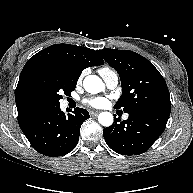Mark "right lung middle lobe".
Masks as SVG:
<instances>
[{"mask_svg":"<svg viewBox=\"0 0 193 193\" xmlns=\"http://www.w3.org/2000/svg\"><path fill=\"white\" fill-rule=\"evenodd\" d=\"M78 77L55 69L36 71L28 80L26 93L37 104L56 107L62 99L61 93L70 95L76 87Z\"/></svg>","mask_w":193,"mask_h":193,"instance_id":"dd1d6c3e","label":"right lung middle lobe"}]
</instances>
